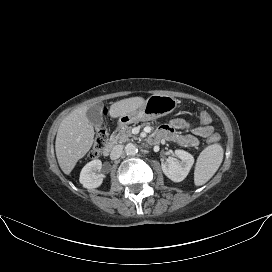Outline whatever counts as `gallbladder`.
<instances>
[{"label": "gallbladder", "mask_w": 272, "mask_h": 272, "mask_svg": "<svg viewBox=\"0 0 272 272\" xmlns=\"http://www.w3.org/2000/svg\"><path fill=\"white\" fill-rule=\"evenodd\" d=\"M86 116L89 122L95 127H100L103 124L102 109L99 104L89 107Z\"/></svg>", "instance_id": "1"}]
</instances>
